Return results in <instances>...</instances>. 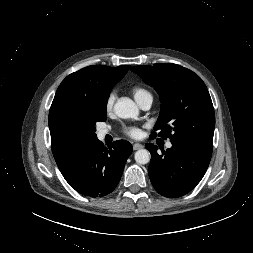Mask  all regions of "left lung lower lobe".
Returning <instances> with one entry per match:
<instances>
[{
  "instance_id": "obj_1",
  "label": "left lung lower lobe",
  "mask_w": 253,
  "mask_h": 253,
  "mask_svg": "<svg viewBox=\"0 0 253 253\" xmlns=\"http://www.w3.org/2000/svg\"><path fill=\"white\" fill-rule=\"evenodd\" d=\"M151 153L148 174L155 190L169 198L181 197L203 178L211 155L200 149L186 145H174L162 154L157 153V146L146 144Z\"/></svg>"
}]
</instances>
